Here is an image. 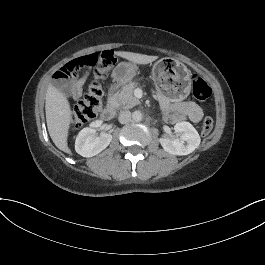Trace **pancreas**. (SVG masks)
Returning <instances> with one entry per match:
<instances>
[{"mask_svg":"<svg viewBox=\"0 0 265 265\" xmlns=\"http://www.w3.org/2000/svg\"><path fill=\"white\" fill-rule=\"evenodd\" d=\"M136 87L137 84L134 82H130L124 85L121 92L115 93L113 95L114 106L119 109H130L140 104V100L133 95V91ZM157 99L159 101L161 110L163 112V120L167 121L168 118L166 116V113H167V107L170 104V100L166 96L160 93L157 94ZM174 122L175 121H172V123Z\"/></svg>","mask_w":265,"mask_h":265,"instance_id":"cf45deb5","label":"pancreas"}]
</instances>
